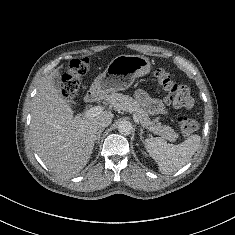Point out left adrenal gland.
<instances>
[{"label": "left adrenal gland", "instance_id": "obj_1", "mask_svg": "<svg viewBox=\"0 0 235 235\" xmlns=\"http://www.w3.org/2000/svg\"><path fill=\"white\" fill-rule=\"evenodd\" d=\"M143 133H144V132H143V129L140 127V134H139V135H140V139L143 138Z\"/></svg>", "mask_w": 235, "mask_h": 235}]
</instances>
